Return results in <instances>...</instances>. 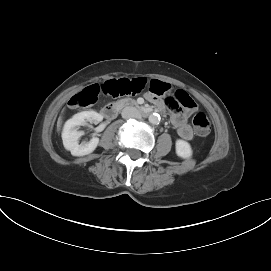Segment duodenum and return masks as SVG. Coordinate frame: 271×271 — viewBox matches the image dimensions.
<instances>
[{
    "label": "duodenum",
    "mask_w": 271,
    "mask_h": 271,
    "mask_svg": "<svg viewBox=\"0 0 271 271\" xmlns=\"http://www.w3.org/2000/svg\"><path fill=\"white\" fill-rule=\"evenodd\" d=\"M124 105V103H109L107 104L103 109H102V115L106 118V119H113L116 117V115L118 114V111L120 110V108ZM137 111L139 112V114H141L142 116H148L150 115L153 110L148 109V108H143V107H138Z\"/></svg>",
    "instance_id": "duodenum-1"
}]
</instances>
